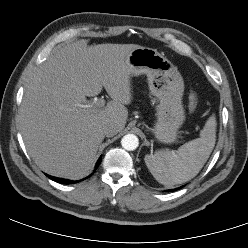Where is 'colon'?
<instances>
[{"mask_svg":"<svg viewBox=\"0 0 248 248\" xmlns=\"http://www.w3.org/2000/svg\"><path fill=\"white\" fill-rule=\"evenodd\" d=\"M197 95L194 92H191L188 99V107L190 111H194L197 106Z\"/></svg>","mask_w":248,"mask_h":248,"instance_id":"5ec220e1","label":"colon"}]
</instances>
